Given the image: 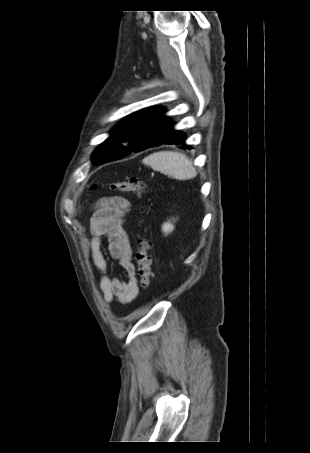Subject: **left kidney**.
<instances>
[{
  "label": "left kidney",
  "mask_w": 310,
  "mask_h": 453,
  "mask_svg": "<svg viewBox=\"0 0 310 453\" xmlns=\"http://www.w3.org/2000/svg\"><path fill=\"white\" fill-rule=\"evenodd\" d=\"M173 229H174V226H173V224L170 223V222H166V223H164L163 226H162V231H163L164 233H166V234H168L169 232L173 231Z\"/></svg>",
  "instance_id": "5707ae66"
}]
</instances>
